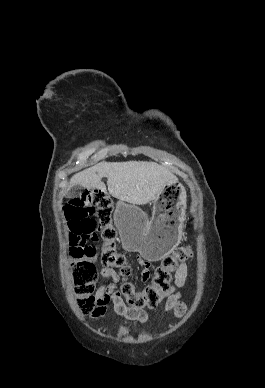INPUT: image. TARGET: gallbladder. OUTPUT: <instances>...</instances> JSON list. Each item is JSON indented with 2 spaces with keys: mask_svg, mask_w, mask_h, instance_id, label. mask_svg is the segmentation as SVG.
Segmentation results:
<instances>
[{
  "mask_svg": "<svg viewBox=\"0 0 265 388\" xmlns=\"http://www.w3.org/2000/svg\"><path fill=\"white\" fill-rule=\"evenodd\" d=\"M82 190H84L83 186H73L68 194H66V198H77V196H80Z\"/></svg>",
  "mask_w": 265,
  "mask_h": 388,
  "instance_id": "1",
  "label": "gallbladder"
}]
</instances>
